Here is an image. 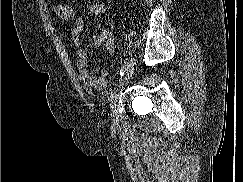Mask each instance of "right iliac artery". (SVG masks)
<instances>
[{
  "label": "right iliac artery",
  "mask_w": 243,
  "mask_h": 182,
  "mask_svg": "<svg viewBox=\"0 0 243 182\" xmlns=\"http://www.w3.org/2000/svg\"><path fill=\"white\" fill-rule=\"evenodd\" d=\"M126 62L122 65V67H121V70H120V76L122 77L123 75H124V73H125V70H126Z\"/></svg>",
  "instance_id": "right-iliac-artery-1"
}]
</instances>
